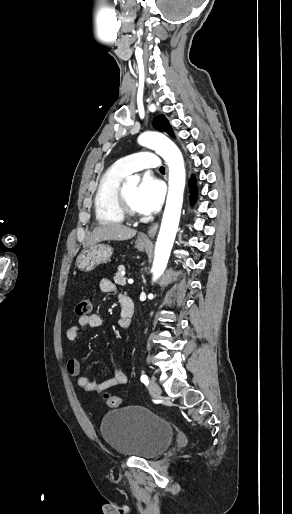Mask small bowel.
Masks as SVG:
<instances>
[{
    "instance_id": "c3829d8e",
    "label": "small bowel",
    "mask_w": 292,
    "mask_h": 514,
    "mask_svg": "<svg viewBox=\"0 0 292 514\" xmlns=\"http://www.w3.org/2000/svg\"><path fill=\"white\" fill-rule=\"evenodd\" d=\"M99 289L102 293L110 294L115 292V284L108 278H103L99 282ZM130 319H127V315L121 308L118 325L120 328L126 329L130 326ZM103 319L100 314L92 313L90 315L81 316L78 322L71 325L66 333V337L69 341L74 342L79 338L81 329L84 327H90L98 329L102 326ZM67 371L70 376L74 377L79 387L83 388L88 393H99L103 392L111 387L125 384L128 380L126 372L120 366H116L113 369L112 376L100 380L91 381L87 375L81 373V362L77 357H72L67 362Z\"/></svg>"
}]
</instances>
